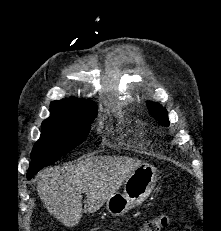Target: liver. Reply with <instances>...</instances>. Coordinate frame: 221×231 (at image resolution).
I'll use <instances>...</instances> for the list:
<instances>
[{"label": "liver", "mask_w": 221, "mask_h": 231, "mask_svg": "<svg viewBox=\"0 0 221 231\" xmlns=\"http://www.w3.org/2000/svg\"><path fill=\"white\" fill-rule=\"evenodd\" d=\"M129 157H90L73 165L47 168L39 174L37 192L45 208L67 227L82 217L83 194L90 213L98 211L131 173L141 166Z\"/></svg>", "instance_id": "obj_1"}]
</instances>
